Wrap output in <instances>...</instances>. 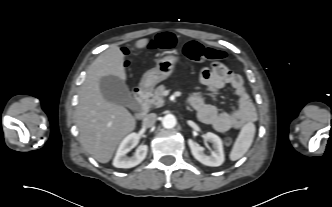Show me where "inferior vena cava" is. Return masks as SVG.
Returning a JSON list of instances; mask_svg holds the SVG:
<instances>
[{"instance_id": "obj_1", "label": "inferior vena cava", "mask_w": 332, "mask_h": 207, "mask_svg": "<svg viewBox=\"0 0 332 207\" xmlns=\"http://www.w3.org/2000/svg\"><path fill=\"white\" fill-rule=\"evenodd\" d=\"M157 119V115L155 113H150L148 114L144 119H143V126L145 127H152Z\"/></svg>"}]
</instances>
